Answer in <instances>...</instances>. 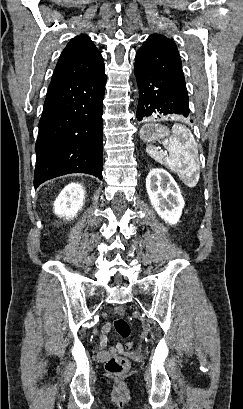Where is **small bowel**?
<instances>
[{
  "instance_id": "1",
  "label": "small bowel",
  "mask_w": 243,
  "mask_h": 409,
  "mask_svg": "<svg viewBox=\"0 0 243 409\" xmlns=\"http://www.w3.org/2000/svg\"><path fill=\"white\" fill-rule=\"evenodd\" d=\"M111 323L107 322L105 323L102 328H101V334L99 336V344L101 348L104 350L105 354H116V353H121L127 346H123L122 344H116L115 346H107L108 340H107V333L110 332L111 330Z\"/></svg>"
}]
</instances>
